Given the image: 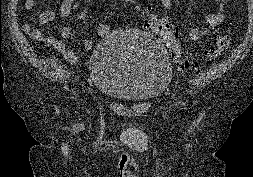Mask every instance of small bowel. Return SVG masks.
<instances>
[{
  "label": "small bowel",
  "mask_w": 253,
  "mask_h": 177,
  "mask_svg": "<svg viewBox=\"0 0 253 177\" xmlns=\"http://www.w3.org/2000/svg\"><path fill=\"white\" fill-rule=\"evenodd\" d=\"M36 0H25L24 7L26 9H32L35 5ZM165 8H169L172 0H160ZM228 0H214L216 5L215 10L206 17L205 23L200 28H189L187 30V36L192 41H198L206 37L211 31L216 29L225 19V9ZM90 0H86L84 7L80 11L78 18L83 20L87 15V6ZM74 5V0H62L59 11L46 10L43 11L39 16V21L42 24L51 23L57 19L66 18L70 15L72 7ZM22 30L28 34H35L31 26L27 23H22ZM110 32V26L106 23L100 22L97 24V34L100 37H105ZM63 39L70 40L75 37V30L70 26H65L60 31ZM95 42L93 39H86L83 46L86 50H91ZM54 48L70 63H77L79 61V56L71 51L63 43L54 41Z\"/></svg>",
  "instance_id": "c3829d8e"
}]
</instances>
